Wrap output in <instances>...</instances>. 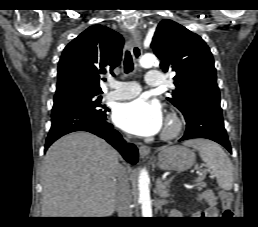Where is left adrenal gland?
Wrapping results in <instances>:
<instances>
[{
    "instance_id": "1",
    "label": "left adrenal gland",
    "mask_w": 258,
    "mask_h": 227,
    "mask_svg": "<svg viewBox=\"0 0 258 227\" xmlns=\"http://www.w3.org/2000/svg\"><path fill=\"white\" fill-rule=\"evenodd\" d=\"M173 180V177L170 178L169 180L163 182L161 180V178H158L157 181H156V191H157V194L163 198V199H166V198H169L170 194H169V190H168V186L169 184L171 183V181Z\"/></svg>"
}]
</instances>
